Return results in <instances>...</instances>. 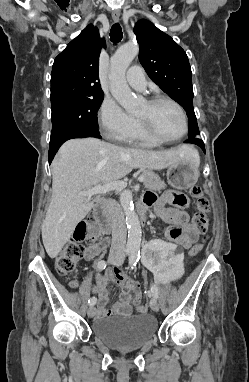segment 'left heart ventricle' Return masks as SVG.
Here are the masks:
<instances>
[{"label":"left heart ventricle","mask_w":249,"mask_h":382,"mask_svg":"<svg viewBox=\"0 0 249 382\" xmlns=\"http://www.w3.org/2000/svg\"><path fill=\"white\" fill-rule=\"evenodd\" d=\"M136 116L148 121L158 135L164 138H176L183 131V123L178 110L166 102L155 106H150L145 102Z\"/></svg>","instance_id":"b2bd125f"}]
</instances>
